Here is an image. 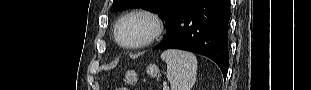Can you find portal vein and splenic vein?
<instances>
[{"label": "portal vein and splenic vein", "instance_id": "portal-vein-and-splenic-vein-1", "mask_svg": "<svg viewBox=\"0 0 311 90\" xmlns=\"http://www.w3.org/2000/svg\"><path fill=\"white\" fill-rule=\"evenodd\" d=\"M168 89L169 87L166 84H164L163 90H168Z\"/></svg>", "mask_w": 311, "mask_h": 90}]
</instances>
